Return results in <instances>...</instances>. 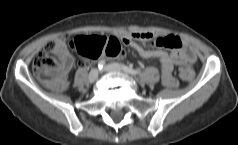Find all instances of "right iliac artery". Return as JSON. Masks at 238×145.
I'll use <instances>...</instances> for the list:
<instances>
[{"mask_svg": "<svg viewBox=\"0 0 238 145\" xmlns=\"http://www.w3.org/2000/svg\"><path fill=\"white\" fill-rule=\"evenodd\" d=\"M104 66H105V60H100V61L98 62V68H99V69H102Z\"/></svg>", "mask_w": 238, "mask_h": 145, "instance_id": "1", "label": "right iliac artery"}]
</instances>
